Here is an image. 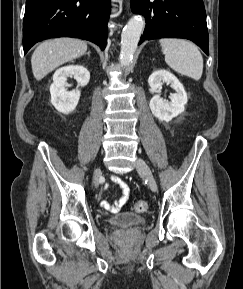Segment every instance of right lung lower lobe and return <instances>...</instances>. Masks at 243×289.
<instances>
[{
  "label": "right lung lower lobe",
  "mask_w": 243,
  "mask_h": 289,
  "mask_svg": "<svg viewBox=\"0 0 243 289\" xmlns=\"http://www.w3.org/2000/svg\"><path fill=\"white\" fill-rule=\"evenodd\" d=\"M109 13L110 0H26L24 53L38 41L63 36L89 40L104 50Z\"/></svg>",
  "instance_id": "1"
}]
</instances>
